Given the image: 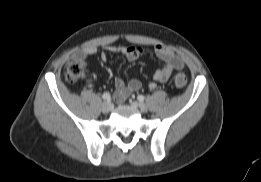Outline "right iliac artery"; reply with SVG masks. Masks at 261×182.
<instances>
[{
	"label": "right iliac artery",
	"instance_id": "82829eb1",
	"mask_svg": "<svg viewBox=\"0 0 261 182\" xmlns=\"http://www.w3.org/2000/svg\"><path fill=\"white\" fill-rule=\"evenodd\" d=\"M102 98H103L104 100L109 101V100H111V95H110L108 92H105V93L102 95Z\"/></svg>",
	"mask_w": 261,
	"mask_h": 182
}]
</instances>
